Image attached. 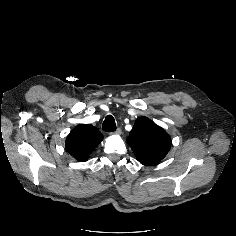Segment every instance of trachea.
Listing matches in <instances>:
<instances>
[{
  "label": "trachea",
  "instance_id": "3493384b",
  "mask_svg": "<svg viewBox=\"0 0 236 236\" xmlns=\"http://www.w3.org/2000/svg\"><path fill=\"white\" fill-rule=\"evenodd\" d=\"M102 129L105 132H114L116 130V123L114 118L111 115H107L103 125H102Z\"/></svg>",
  "mask_w": 236,
  "mask_h": 236
}]
</instances>
